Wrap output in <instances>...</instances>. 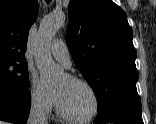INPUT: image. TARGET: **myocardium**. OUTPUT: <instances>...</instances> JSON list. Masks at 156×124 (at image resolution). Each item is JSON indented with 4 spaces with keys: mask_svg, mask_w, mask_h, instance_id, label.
Wrapping results in <instances>:
<instances>
[{
    "mask_svg": "<svg viewBox=\"0 0 156 124\" xmlns=\"http://www.w3.org/2000/svg\"><path fill=\"white\" fill-rule=\"evenodd\" d=\"M66 78L68 80L72 81V82L82 84L83 86H85L91 92V94L93 96V99H94V108L86 116H81V117L73 116V115L67 113L62 108L56 93L53 92L57 114L63 120H66V121H69V122L84 123V122H88V121L93 120L100 113V110H101V98H100L96 88L89 81H87L84 78H81V77H78V76H75V75H71V74H67Z\"/></svg>",
    "mask_w": 156,
    "mask_h": 124,
    "instance_id": "obj_1",
    "label": "myocardium"
}]
</instances>
